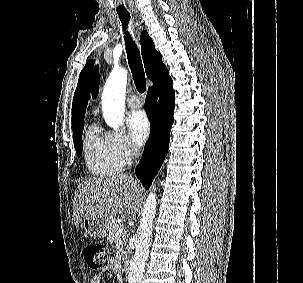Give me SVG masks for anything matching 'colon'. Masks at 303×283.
Masks as SVG:
<instances>
[{"mask_svg": "<svg viewBox=\"0 0 303 283\" xmlns=\"http://www.w3.org/2000/svg\"><path fill=\"white\" fill-rule=\"evenodd\" d=\"M82 257L91 270L98 271L104 268L110 257V250L100 243H88L83 247Z\"/></svg>", "mask_w": 303, "mask_h": 283, "instance_id": "obj_1", "label": "colon"}]
</instances>
